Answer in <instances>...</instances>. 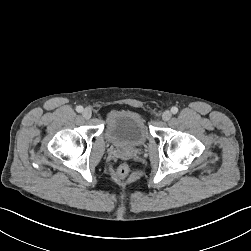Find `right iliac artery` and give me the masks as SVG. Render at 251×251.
I'll list each match as a JSON object with an SVG mask.
<instances>
[{
	"label": "right iliac artery",
	"mask_w": 251,
	"mask_h": 251,
	"mask_svg": "<svg viewBox=\"0 0 251 251\" xmlns=\"http://www.w3.org/2000/svg\"><path fill=\"white\" fill-rule=\"evenodd\" d=\"M76 111L79 112V113L82 112L83 111V107L82 106H77L76 107Z\"/></svg>",
	"instance_id": "right-iliac-artery-1"
}]
</instances>
